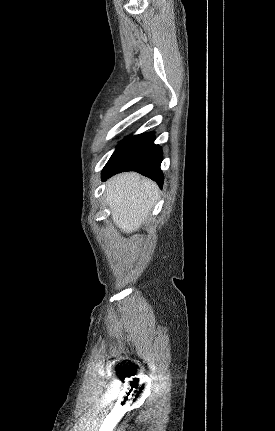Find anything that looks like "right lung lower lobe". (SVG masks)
<instances>
[{"label": "right lung lower lobe", "mask_w": 275, "mask_h": 431, "mask_svg": "<svg viewBox=\"0 0 275 431\" xmlns=\"http://www.w3.org/2000/svg\"><path fill=\"white\" fill-rule=\"evenodd\" d=\"M153 133L129 136L116 148L102 170V179L123 171H136L156 181L162 188L163 174L160 169L162 150L154 144Z\"/></svg>", "instance_id": "98d812e1"}]
</instances>
